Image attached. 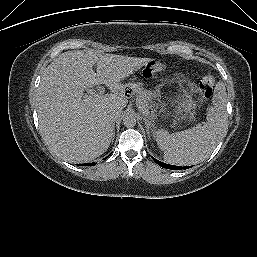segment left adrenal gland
<instances>
[{"mask_svg":"<svg viewBox=\"0 0 257 257\" xmlns=\"http://www.w3.org/2000/svg\"><path fill=\"white\" fill-rule=\"evenodd\" d=\"M143 120L145 122L146 129L149 130V128H151L150 126L152 125V122L147 118H144Z\"/></svg>","mask_w":257,"mask_h":257,"instance_id":"obj_1","label":"left adrenal gland"}]
</instances>
